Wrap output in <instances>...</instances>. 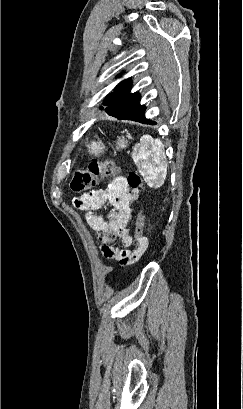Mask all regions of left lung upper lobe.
I'll list each match as a JSON object with an SVG mask.
<instances>
[{
  "label": "left lung upper lobe",
  "instance_id": "left-lung-upper-lobe-1",
  "mask_svg": "<svg viewBox=\"0 0 243 409\" xmlns=\"http://www.w3.org/2000/svg\"><path fill=\"white\" fill-rule=\"evenodd\" d=\"M131 81L126 79L115 87V94H109L104 103L110 105L106 109L107 113L120 114L124 113L129 108L139 107V93L131 94Z\"/></svg>",
  "mask_w": 243,
  "mask_h": 409
}]
</instances>
